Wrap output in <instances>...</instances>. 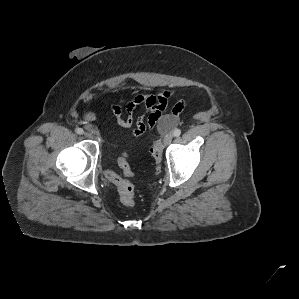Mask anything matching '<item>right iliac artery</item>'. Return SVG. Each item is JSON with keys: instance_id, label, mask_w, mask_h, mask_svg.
<instances>
[{"instance_id": "obj_1", "label": "right iliac artery", "mask_w": 299, "mask_h": 299, "mask_svg": "<svg viewBox=\"0 0 299 299\" xmlns=\"http://www.w3.org/2000/svg\"><path fill=\"white\" fill-rule=\"evenodd\" d=\"M75 132H76L77 134H80V135L84 133V131H83L82 128H76V129H75Z\"/></svg>"}]
</instances>
